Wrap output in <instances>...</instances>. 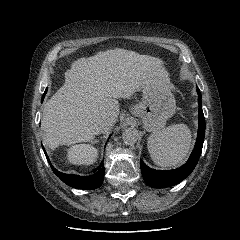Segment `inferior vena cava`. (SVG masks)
Returning a JSON list of instances; mask_svg holds the SVG:
<instances>
[{"instance_id": "1", "label": "inferior vena cava", "mask_w": 240, "mask_h": 240, "mask_svg": "<svg viewBox=\"0 0 240 240\" xmlns=\"http://www.w3.org/2000/svg\"><path fill=\"white\" fill-rule=\"evenodd\" d=\"M108 125H109V120H108V117L105 116L99 121L98 127H97V132L98 133L105 132L106 129L108 128Z\"/></svg>"}]
</instances>
